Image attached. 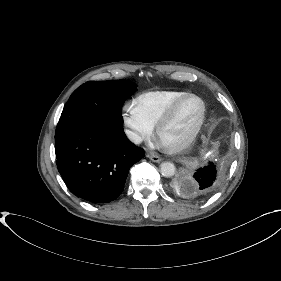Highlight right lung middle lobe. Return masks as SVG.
Masks as SVG:
<instances>
[{"instance_id":"obj_1","label":"right lung middle lobe","mask_w":281,"mask_h":281,"mask_svg":"<svg viewBox=\"0 0 281 281\" xmlns=\"http://www.w3.org/2000/svg\"><path fill=\"white\" fill-rule=\"evenodd\" d=\"M136 87L127 80L89 81L81 85L64 106L56 133L81 126H122V106Z\"/></svg>"}]
</instances>
